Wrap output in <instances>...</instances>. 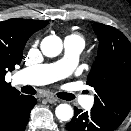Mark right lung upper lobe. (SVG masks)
Listing matches in <instances>:
<instances>
[{
    "mask_svg": "<svg viewBox=\"0 0 131 131\" xmlns=\"http://www.w3.org/2000/svg\"><path fill=\"white\" fill-rule=\"evenodd\" d=\"M47 24V21L19 18L0 22V126L13 104L23 96L5 81V75L20 64L28 38Z\"/></svg>",
    "mask_w": 131,
    "mask_h": 131,
    "instance_id": "cb5924a9",
    "label": "right lung upper lobe"
}]
</instances>
